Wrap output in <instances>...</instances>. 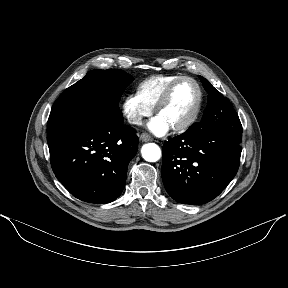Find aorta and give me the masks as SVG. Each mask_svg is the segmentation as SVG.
I'll use <instances>...</instances> for the list:
<instances>
[{"mask_svg":"<svg viewBox=\"0 0 288 288\" xmlns=\"http://www.w3.org/2000/svg\"><path fill=\"white\" fill-rule=\"evenodd\" d=\"M144 160L148 162H156L161 158V149L155 143L144 144L141 149Z\"/></svg>","mask_w":288,"mask_h":288,"instance_id":"aorta-1","label":"aorta"}]
</instances>
